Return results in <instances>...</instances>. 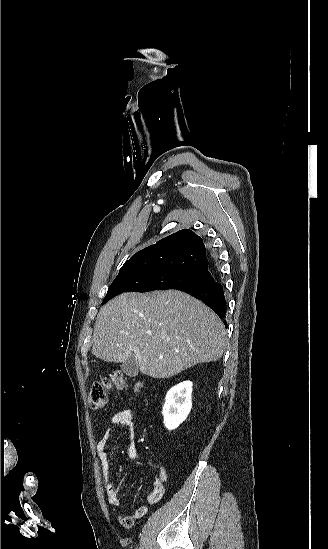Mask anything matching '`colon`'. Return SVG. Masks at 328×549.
I'll list each match as a JSON object with an SVG mask.
<instances>
[{
    "label": "colon",
    "instance_id": "1",
    "mask_svg": "<svg viewBox=\"0 0 328 549\" xmlns=\"http://www.w3.org/2000/svg\"><path fill=\"white\" fill-rule=\"evenodd\" d=\"M129 386V383L118 372L110 374L99 382H95L88 395V403L92 409H101L106 406L108 402V395L113 390H122ZM142 387L141 382L133 384V388L138 391ZM118 520L120 524L126 528H130L134 522V516L132 515H119Z\"/></svg>",
    "mask_w": 328,
    "mask_h": 549
}]
</instances>
